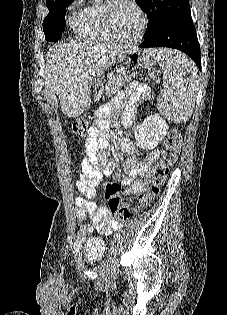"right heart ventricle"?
<instances>
[{
	"label": "right heart ventricle",
	"mask_w": 227,
	"mask_h": 315,
	"mask_svg": "<svg viewBox=\"0 0 227 315\" xmlns=\"http://www.w3.org/2000/svg\"><path fill=\"white\" fill-rule=\"evenodd\" d=\"M103 7L104 4H88L73 13L71 23L81 38L93 42L112 41L104 26Z\"/></svg>",
	"instance_id": "1"
}]
</instances>
